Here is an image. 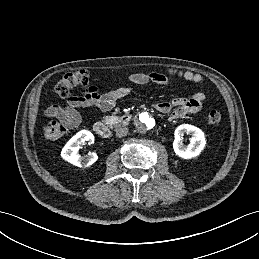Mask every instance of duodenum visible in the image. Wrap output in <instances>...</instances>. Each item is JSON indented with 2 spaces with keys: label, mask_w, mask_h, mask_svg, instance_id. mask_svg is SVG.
Masks as SVG:
<instances>
[{
  "label": "duodenum",
  "mask_w": 259,
  "mask_h": 259,
  "mask_svg": "<svg viewBox=\"0 0 259 259\" xmlns=\"http://www.w3.org/2000/svg\"><path fill=\"white\" fill-rule=\"evenodd\" d=\"M130 121H131V117L124 116L118 120V123L129 124ZM94 131L96 132L97 135H99L102 138H108L110 136L109 126L102 121H98L94 124Z\"/></svg>",
  "instance_id": "410a0bca"
}]
</instances>
